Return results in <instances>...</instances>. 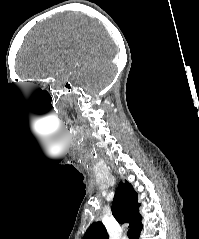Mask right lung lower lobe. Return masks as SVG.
Segmentation results:
<instances>
[{"instance_id":"98d812e1","label":"right lung lower lobe","mask_w":199,"mask_h":239,"mask_svg":"<svg viewBox=\"0 0 199 239\" xmlns=\"http://www.w3.org/2000/svg\"><path fill=\"white\" fill-rule=\"evenodd\" d=\"M141 230H142V224H140V226L136 230H134L135 239H139Z\"/></svg>"}]
</instances>
